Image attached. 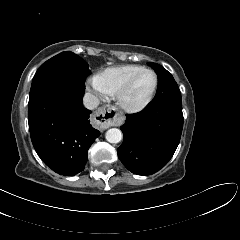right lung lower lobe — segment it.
Segmentation results:
<instances>
[{
  "instance_id": "98d812e1",
  "label": "right lung lower lobe",
  "mask_w": 240,
  "mask_h": 240,
  "mask_svg": "<svg viewBox=\"0 0 240 240\" xmlns=\"http://www.w3.org/2000/svg\"><path fill=\"white\" fill-rule=\"evenodd\" d=\"M85 90L55 88L29 103L30 136L41 160L61 175L74 176L84 170L87 152L100 132L89 121L83 107Z\"/></svg>"
}]
</instances>
